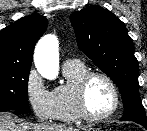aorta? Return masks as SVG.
<instances>
[{"label": "aorta", "mask_w": 147, "mask_h": 131, "mask_svg": "<svg viewBox=\"0 0 147 131\" xmlns=\"http://www.w3.org/2000/svg\"><path fill=\"white\" fill-rule=\"evenodd\" d=\"M34 62L43 77L53 80L58 76L59 52L56 37L47 35L41 38L35 48Z\"/></svg>", "instance_id": "aorta-1"}]
</instances>
